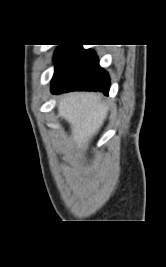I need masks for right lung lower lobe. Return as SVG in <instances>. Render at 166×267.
Masks as SVG:
<instances>
[{
	"mask_svg": "<svg viewBox=\"0 0 166 267\" xmlns=\"http://www.w3.org/2000/svg\"><path fill=\"white\" fill-rule=\"evenodd\" d=\"M55 72L51 81V92L59 94L69 91H100L108 95L110 78L99 66L94 51L81 45H59L55 54Z\"/></svg>",
	"mask_w": 166,
	"mask_h": 267,
	"instance_id": "1",
	"label": "right lung lower lobe"
}]
</instances>
